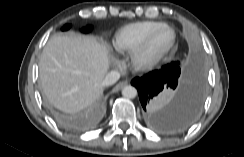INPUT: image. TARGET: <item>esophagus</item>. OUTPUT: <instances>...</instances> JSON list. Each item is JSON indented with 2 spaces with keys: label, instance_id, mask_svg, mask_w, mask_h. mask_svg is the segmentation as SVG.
<instances>
[{
  "label": "esophagus",
  "instance_id": "obj_1",
  "mask_svg": "<svg viewBox=\"0 0 244 157\" xmlns=\"http://www.w3.org/2000/svg\"><path fill=\"white\" fill-rule=\"evenodd\" d=\"M127 84H128V81H121V82H119L118 84H116V85L113 87L112 92H113V93L118 92V91L121 90L123 87H125Z\"/></svg>",
  "mask_w": 244,
  "mask_h": 157
}]
</instances>
